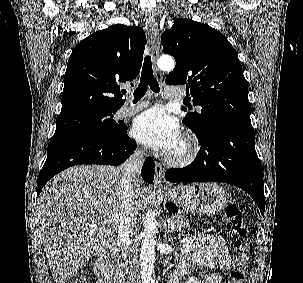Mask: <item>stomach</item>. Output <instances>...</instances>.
I'll return each mask as SVG.
<instances>
[{
  "label": "stomach",
  "instance_id": "stomach-1",
  "mask_svg": "<svg viewBox=\"0 0 303 283\" xmlns=\"http://www.w3.org/2000/svg\"><path fill=\"white\" fill-rule=\"evenodd\" d=\"M165 208L170 212L214 215L227 205L225 190L216 184L201 183L164 190Z\"/></svg>",
  "mask_w": 303,
  "mask_h": 283
}]
</instances>
